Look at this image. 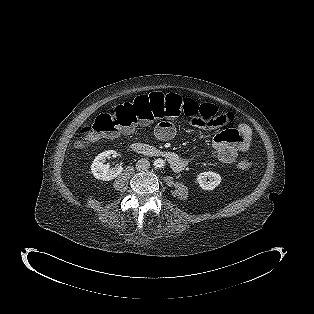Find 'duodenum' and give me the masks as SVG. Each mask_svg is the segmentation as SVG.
Masks as SVG:
<instances>
[{"label": "duodenum", "instance_id": "1", "mask_svg": "<svg viewBox=\"0 0 314 314\" xmlns=\"http://www.w3.org/2000/svg\"><path fill=\"white\" fill-rule=\"evenodd\" d=\"M131 149L136 153H141L147 156L163 157L167 160L170 167L176 171H182L186 166V161L172 151L161 150L152 147L143 142H134Z\"/></svg>", "mask_w": 314, "mask_h": 314}]
</instances>
